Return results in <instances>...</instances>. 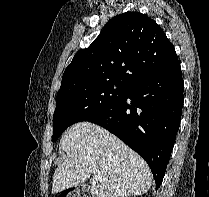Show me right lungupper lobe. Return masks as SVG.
Wrapping results in <instances>:
<instances>
[{
  "label": "right lung upper lobe",
  "instance_id": "cb5924a9",
  "mask_svg": "<svg viewBox=\"0 0 209 197\" xmlns=\"http://www.w3.org/2000/svg\"><path fill=\"white\" fill-rule=\"evenodd\" d=\"M175 57L173 45L153 19L140 12H125L109 20L92 44L76 53L60 89L107 80L132 86Z\"/></svg>",
  "mask_w": 209,
  "mask_h": 197
}]
</instances>
